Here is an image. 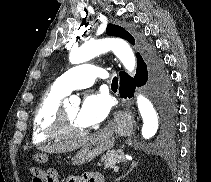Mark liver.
Listing matches in <instances>:
<instances>
[{
	"label": "liver",
	"instance_id": "6515ba94",
	"mask_svg": "<svg viewBox=\"0 0 211 182\" xmlns=\"http://www.w3.org/2000/svg\"><path fill=\"white\" fill-rule=\"evenodd\" d=\"M89 139H90V136H86L82 139L75 140V141H67L63 143L40 146L38 149L47 153H63V152L73 151L85 145Z\"/></svg>",
	"mask_w": 211,
	"mask_h": 182
}]
</instances>
